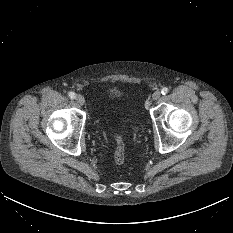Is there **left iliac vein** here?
Returning <instances> with one entry per match:
<instances>
[{
    "mask_svg": "<svg viewBox=\"0 0 233 233\" xmlns=\"http://www.w3.org/2000/svg\"><path fill=\"white\" fill-rule=\"evenodd\" d=\"M161 97V92L159 90L155 91L152 95L153 100H158Z\"/></svg>",
    "mask_w": 233,
    "mask_h": 233,
    "instance_id": "1",
    "label": "left iliac vein"
}]
</instances>
